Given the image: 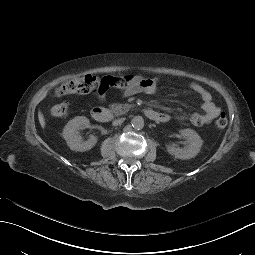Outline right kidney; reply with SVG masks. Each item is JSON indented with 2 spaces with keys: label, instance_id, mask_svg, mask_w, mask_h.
Wrapping results in <instances>:
<instances>
[{
  "label": "right kidney",
  "instance_id": "right-kidney-1",
  "mask_svg": "<svg viewBox=\"0 0 255 255\" xmlns=\"http://www.w3.org/2000/svg\"><path fill=\"white\" fill-rule=\"evenodd\" d=\"M89 126V119L84 116H78L70 120L63 129V137L67 145L74 151L90 150L96 143L97 138L91 136L87 141H82L78 130Z\"/></svg>",
  "mask_w": 255,
  "mask_h": 255
}]
</instances>
